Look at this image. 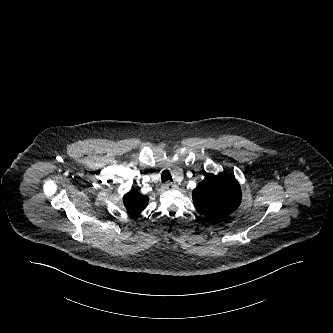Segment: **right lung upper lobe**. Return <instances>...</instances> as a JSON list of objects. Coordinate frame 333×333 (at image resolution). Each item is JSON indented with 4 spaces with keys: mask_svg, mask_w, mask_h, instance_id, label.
Returning a JSON list of instances; mask_svg holds the SVG:
<instances>
[{
    "mask_svg": "<svg viewBox=\"0 0 333 333\" xmlns=\"http://www.w3.org/2000/svg\"><path fill=\"white\" fill-rule=\"evenodd\" d=\"M148 197L140 195L136 190H131L124 195L123 203L131 216H137L148 205Z\"/></svg>",
    "mask_w": 333,
    "mask_h": 333,
    "instance_id": "cb5924a9",
    "label": "right lung upper lobe"
}]
</instances>
